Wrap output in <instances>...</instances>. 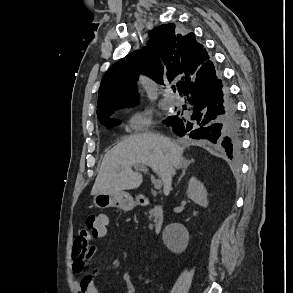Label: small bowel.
<instances>
[{
	"label": "small bowel",
	"instance_id": "small-bowel-1",
	"mask_svg": "<svg viewBox=\"0 0 293 293\" xmlns=\"http://www.w3.org/2000/svg\"><path fill=\"white\" fill-rule=\"evenodd\" d=\"M107 234L104 232L95 236L85 230L79 231L73 246L72 270L75 275L81 276L76 282L78 293H99V289L90 275H83L89 260L97 253V247L90 244L97 238H103ZM124 284V293H138L132 281V275L125 272L122 276Z\"/></svg>",
	"mask_w": 293,
	"mask_h": 293
}]
</instances>
